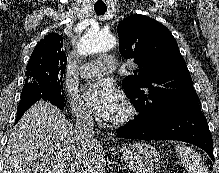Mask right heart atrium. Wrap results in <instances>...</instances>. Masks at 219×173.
Listing matches in <instances>:
<instances>
[{
    "label": "right heart atrium",
    "mask_w": 219,
    "mask_h": 173,
    "mask_svg": "<svg viewBox=\"0 0 219 173\" xmlns=\"http://www.w3.org/2000/svg\"><path fill=\"white\" fill-rule=\"evenodd\" d=\"M66 98L71 107V110L79 121L90 123L94 120L92 111L72 90L68 91Z\"/></svg>",
    "instance_id": "obj_1"
}]
</instances>
